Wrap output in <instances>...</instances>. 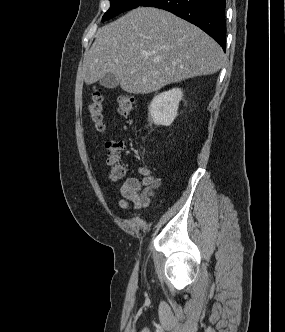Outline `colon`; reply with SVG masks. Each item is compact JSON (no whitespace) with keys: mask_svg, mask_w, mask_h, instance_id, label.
<instances>
[{"mask_svg":"<svg viewBox=\"0 0 285 332\" xmlns=\"http://www.w3.org/2000/svg\"><path fill=\"white\" fill-rule=\"evenodd\" d=\"M136 106L135 99L128 94H120L117 98V113L120 117H127L134 111ZM88 116L95 129L102 132L105 129L103 119V95L100 90L92 93L91 99L87 105ZM124 144L121 141L111 140L106 142L108 150L107 164L109 166V175L113 181H119L126 177L127 168L120 162L119 153Z\"/></svg>","mask_w":285,"mask_h":332,"instance_id":"obj_1","label":"colon"}]
</instances>
